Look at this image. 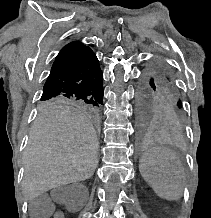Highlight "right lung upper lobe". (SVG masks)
Segmentation results:
<instances>
[{
	"label": "right lung upper lobe",
	"mask_w": 211,
	"mask_h": 218,
	"mask_svg": "<svg viewBox=\"0 0 211 218\" xmlns=\"http://www.w3.org/2000/svg\"><path fill=\"white\" fill-rule=\"evenodd\" d=\"M89 50H91L89 47L85 46L84 44L80 42H77V41L71 42L62 48V50L57 55L56 59H59V58H62L64 56H68L71 54H75L78 52L89 51Z\"/></svg>",
	"instance_id": "obj_1"
}]
</instances>
